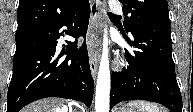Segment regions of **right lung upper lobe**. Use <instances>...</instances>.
<instances>
[{"instance_id":"1","label":"right lung upper lobe","mask_w":193,"mask_h":112,"mask_svg":"<svg viewBox=\"0 0 193 112\" xmlns=\"http://www.w3.org/2000/svg\"><path fill=\"white\" fill-rule=\"evenodd\" d=\"M88 0H19L16 32L41 29L75 12Z\"/></svg>"}]
</instances>
